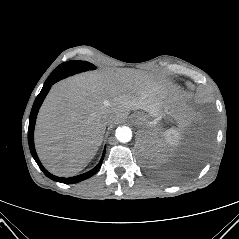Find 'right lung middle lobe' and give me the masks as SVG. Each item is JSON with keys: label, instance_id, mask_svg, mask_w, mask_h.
Returning a JSON list of instances; mask_svg holds the SVG:
<instances>
[{"label": "right lung middle lobe", "instance_id": "dd1d6c3e", "mask_svg": "<svg viewBox=\"0 0 239 239\" xmlns=\"http://www.w3.org/2000/svg\"><path fill=\"white\" fill-rule=\"evenodd\" d=\"M95 69V66L86 61H68L60 64L48 77L45 85L54 84L55 82L66 78L75 73H79L81 71L92 70Z\"/></svg>", "mask_w": 239, "mask_h": 239}]
</instances>
